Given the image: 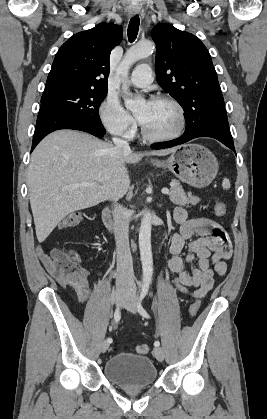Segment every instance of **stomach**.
<instances>
[{
    "label": "stomach",
    "instance_id": "stomach-1",
    "mask_svg": "<svg viewBox=\"0 0 267 419\" xmlns=\"http://www.w3.org/2000/svg\"><path fill=\"white\" fill-rule=\"evenodd\" d=\"M152 164L168 168L179 180L196 188L208 186L216 177L218 162L215 155L200 144H185L176 148L166 161Z\"/></svg>",
    "mask_w": 267,
    "mask_h": 419
}]
</instances>
